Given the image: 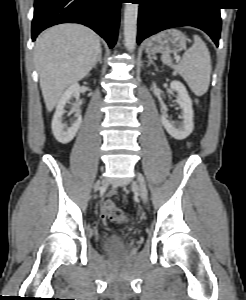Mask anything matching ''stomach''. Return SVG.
<instances>
[{"instance_id": "1", "label": "stomach", "mask_w": 246, "mask_h": 300, "mask_svg": "<svg viewBox=\"0 0 246 300\" xmlns=\"http://www.w3.org/2000/svg\"><path fill=\"white\" fill-rule=\"evenodd\" d=\"M187 41L188 38L184 33L177 29H169L154 35L146 42V53L148 55L178 53L186 48Z\"/></svg>"}]
</instances>
